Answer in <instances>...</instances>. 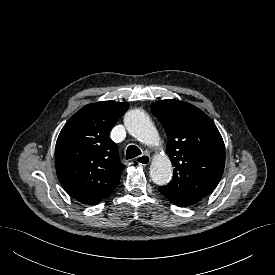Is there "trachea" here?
<instances>
[{"instance_id": "3493384b", "label": "trachea", "mask_w": 275, "mask_h": 275, "mask_svg": "<svg viewBox=\"0 0 275 275\" xmlns=\"http://www.w3.org/2000/svg\"><path fill=\"white\" fill-rule=\"evenodd\" d=\"M141 153H142L141 150L137 146L130 145L126 150V159L128 160V159L135 158L139 156Z\"/></svg>"}]
</instances>
